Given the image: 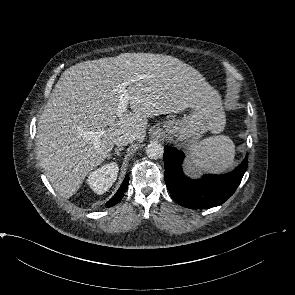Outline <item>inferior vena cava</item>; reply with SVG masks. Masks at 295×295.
Wrapping results in <instances>:
<instances>
[{"label": "inferior vena cava", "mask_w": 295, "mask_h": 295, "mask_svg": "<svg viewBox=\"0 0 295 295\" xmlns=\"http://www.w3.org/2000/svg\"><path fill=\"white\" fill-rule=\"evenodd\" d=\"M137 140V135L135 133H132V132H126L120 136H118L114 143L117 145V146H125L127 145L128 143L130 142H133Z\"/></svg>", "instance_id": "1"}]
</instances>
